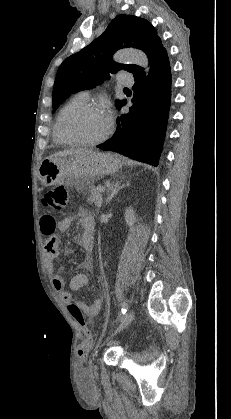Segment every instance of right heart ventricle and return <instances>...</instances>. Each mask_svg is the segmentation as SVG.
<instances>
[{
    "instance_id": "1",
    "label": "right heart ventricle",
    "mask_w": 231,
    "mask_h": 419,
    "mask_svg": "<svg viewBox=\"0 0 231 419\" xmlns=\"http://www.w3.org/2000/svg\"><path fill=\"white\" fill-rule=\"evenodd\" d=\"M87 101V98H85L81 93L76 94L75 96H73L57 113L56 119H55V123H54V127H53V138L55 140V142L59 143V144H73L71 142H69L67 139H65L63 137V135L60 132V120L62 118V116L64 115V113L69 110L70 108L78 105V104H82L85 103Z\"/></svg>"
}]
</instances>
